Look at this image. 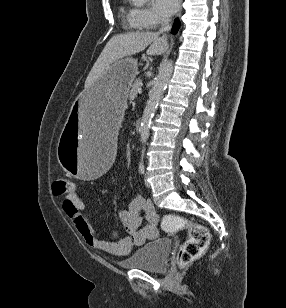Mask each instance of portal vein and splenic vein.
I'll use <instances>...</instances> for the list:
<instances>
[{
    "mask_svg": "<svg viewBox=\"0 0 286 308\" xmlns=\"http://www.w3.org/2000/svg\"><path fill=\"white\" fill-rule=\"evenodd\" d=\"M141 92H142V90H141V88H139V89H138V93H141Z\"/></svg>",
    "mask_w": 286,
    "mask_h": 308,
    "instance_id": "portal-vein-and-splenic-vein-1",
    "label": "portal vein and splenic vein"
}]
</instances>
